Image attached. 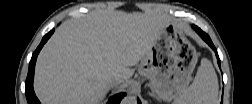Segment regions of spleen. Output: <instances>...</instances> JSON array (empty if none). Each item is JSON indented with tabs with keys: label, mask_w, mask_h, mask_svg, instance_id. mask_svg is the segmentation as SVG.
<instances>
[{
	"label": "spleen",
	"mask_w": 252,
	"mask_h": 104,
	"mask_svg": "<svg viewBox=\"0 0 252 104\" xmlns=\"http://www.w3.org/2000/svg\"><path fill=\"white\" fill-rule=\"evenodd\" d=\"M218 79L211 62L203 58L192 84L175 100L177 104H215Z\"/></svg>",
	"instance_id": "spleen-1"
}]
</instances>
